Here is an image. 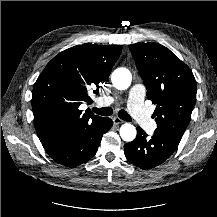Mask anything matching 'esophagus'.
I'll use <instances>...</instances> for the list:
<instances>
[{"label":"esophagus","instance_id":"1","mask_svg":"<svg viewBox=\"0 0 217 217\" xmlns=\"http://www.w3.org/2000/svg\"><path fill=\"white\" fill-rule=\"evenodd\" d=\"M123 122H124V121H123L122 119L118 118V117H114V118H113V123H114L115 125L122 124Z\"/></svg>","mask_w":217,"mask_h":217}]
</instances>
